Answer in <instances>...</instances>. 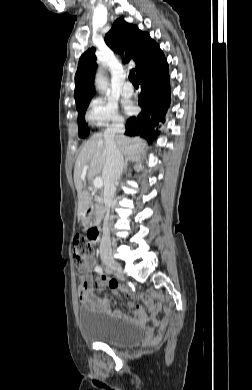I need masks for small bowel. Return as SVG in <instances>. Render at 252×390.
<instances>
[{
    "label": "small bowel",
    "instance_id": "small-bowel-1",
    "mask_svg": "<svg viewBox=\"0 0 252 390\" xmlns=\"http://www.w3.org/2000/svg\"><path fill=\"white\" fill-rule=\"evenodd\" d=\"M95 265L96 260L92 257L84 269L79 271L81 282L78 288V298L83 307L120 320L139 322L141 324H145L151 320L153 322L152 333L156 331L157 334H161L165 331L170 317L169 310H167L163 316L158 317L157 314L160 309V303H154L148 294L133 292L128 288L120 289L117 281L113 279L98 277L94 280L91 272ZM106 288L110 289L116 296H120L121 291L125 295H130L142 300L147 305L148 310H145L140 306H135L130 302L128 303V306L134 309L132 315H125L119 310H113L109 299H99L93 294L94 289L104 290Z\"/></svg>",
    "mask_w": 252,
    "mask_h": 390
}]
</instances>
